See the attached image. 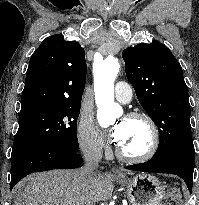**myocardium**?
Instances as JSON below:
<instances>
[{"label": "myocardium", "mask_w": 199, "mask_h": 205, "mask_svg": "<svg viewBox=\"0 0 199 205\" xmlns=\"http://www.w3.org/2000/svg\"><path fill=\"white\" fill-rule=\"evenodd\" d=\"M126 119H139L146 123L150 131V141L147 149L136 155L125 153L119 145L116 147V155L119 159L129 163H140L150 160L157 152L160 145V130L155 120L146 112L132 111L126 116Z\"/></svg>", "instance_id": "1"}]
</instances>
